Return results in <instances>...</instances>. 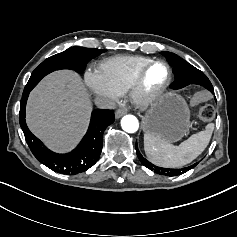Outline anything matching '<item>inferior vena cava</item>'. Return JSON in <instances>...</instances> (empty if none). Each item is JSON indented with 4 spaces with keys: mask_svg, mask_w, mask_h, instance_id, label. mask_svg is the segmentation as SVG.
I'll return each mask as SVG.
<instances>
[{
    "mask_svg": "<svg viewBox=\"0 0 237 237\" xmlns=\"http://www.w3.org/2000/svg\"><path fill=\"white\" fill-rule=\"evenodd\" d=\"M94 103L100 109L115 110L117 107V103L114 100L106 97H96Z\"/></svg>",
    "mask_w": 237,
    "mask_h": 237,
    "instance_id": "obj_1",
    "label": "inferior vena cava"
}]
</instances>
